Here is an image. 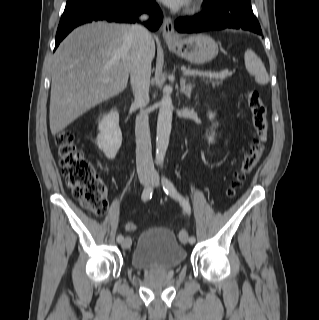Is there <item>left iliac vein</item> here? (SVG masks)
<instances>
[{"label": "left iliac vein", "instance_id": "1", "mask_svg": "<svg viewBox=\"0 0 319 320\" xmlns=\"http://www.w3.org/2000/svg\"><path fill=\"white\" fill-rule=\"evenodd\" d=\"M152 185L153 186H158L159 185V178L157 175H154L152 177ZM183 233L180 234V240L182 243L186 244L188 242V234L185 230H182Z\"/></svg>", "mask_w": 319, "mask_h": 320}]
</instances>
